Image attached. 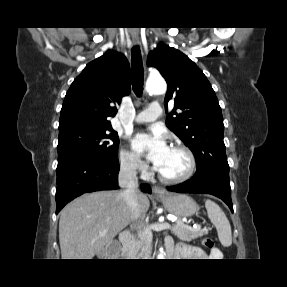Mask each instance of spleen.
<instances>
[{"mask_svg": "<svg viewBox=\"0 0 287 287\" xmlns=\"http://www.w3.org/2000/svg\"><path fill=\"white\" fill-rule=\"evenodd\" d=\"M208 218L216 227L218 238L224 247H229L232 244V233L229 220L222 209L212 200H205Z\"/></svg>", "mask_w": 287, "mask_h": 287, "instance_id": "obj_1", "label": "spleen"}]
</instances>
